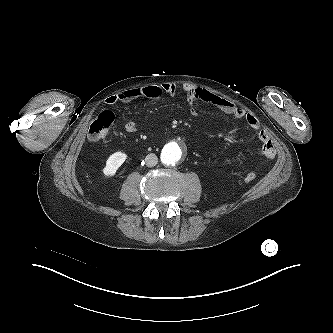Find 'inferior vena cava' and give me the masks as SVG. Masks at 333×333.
Masks as SVG:
<instances>
[{
  "instance_id": "602c4592",
  "label": "inferior vena cava",
  "mask_w": 333,
  "mask_h": 333,
  "mask_svg": "<svg viewBox=\"0 0 333 333\" xmlns=\"http://www.w3.org/2000/svg\"><path fill=\"white\" fill-rule=\"evenodd\" d=\"M146 166L153 167L158 163V158L155 154L150 153L145 158Z\"/></svg>"
}]
</instances>
